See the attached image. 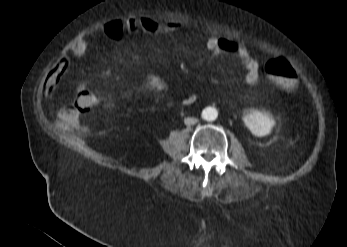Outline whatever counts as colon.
<instances>
[{
    "instance_id": "5ec220e1",
    "label": "colon",
    "mask_w": 347,
    "mask_h": 247,
    "mask_svg": "<svg viewBox=\"0 0 347 247\" xmlns=\"http://www.w3.org/2000/svg\"><path fill=\"white\" fill-rule=\"evenodd\" d=\"M267 74L272 83L284 91H292L297 85V74L285 59L271 60L266 65ZM97 106V97L90 90H81L75 95V105L63 107L57 112V119L64 125H74L78 120V111L90 113Z\"/></svg>"
}]
</instances>
